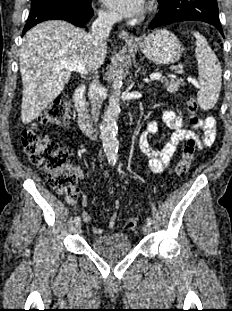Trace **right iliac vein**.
Here are the masks:
<instances>
[{
	"instance_id": "1",
	"label": "right iliac vein",
	"mask_w": 232,
	"mask_h": 311,
	"mask_svg": "<svg viewBox=\"0 0 232 311\" xmlns=\"http://www.w3.org/2000/svg\"><path fill=\"white\" fill-rule=\"evenodd\" d=\"M75 231H76L77 233H79V232L81 231V224H80V223H78V224L75 225Z\"/></svg>"
}]
</instances>
